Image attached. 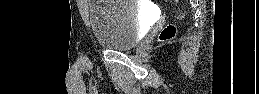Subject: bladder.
Instances as JSON below:
<instances>
[{"label":"bladder","mask_w":259,"mask_h":94,"mask_svg":"<svg viewBox=\"0 0 259 94\" xmlns=\"http://www.w3.org/2000/svg\"><path fill=\"white\" fill-rule=\"evenodd\" d=\"M93 35L107 50H130L140 42L145 16L135 0H93L88 7Z\"/></svg>","instance_id":"1"}]
</instances>
